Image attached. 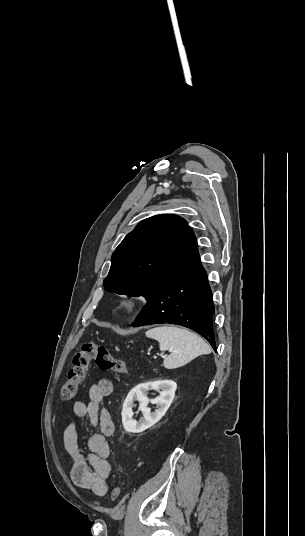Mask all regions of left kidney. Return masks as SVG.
<instances>
[{
	"instance_id": "obj_1",
	"label": "left kidney",
	"mask_w": 305,
	"mask_h": 536,
	"mask_svg": "<svg viewBox=\"0 0 305 536\" xmlns=\"http://www.w3.org/2000/svg\"><path fill=\"white\" fill-rule=\"evenodd\" d=\"M149 390H157L160 396H157L154 400H149L147 398ZM176 390L177 384L176 382H172V380H156V382H147V384H138V386H135L129 392L123 404L122 424L124 430L126 432H132V434H139V432H144V430H148V428L157 424L162 416H165L168 408H170ZM136 400L139 402L138 410L143 414V418L139 422L133 418V408ZM149 402L156 404L157 410L155 412H151L150 408H147Z\"/></svg>"
}]
</instances>
